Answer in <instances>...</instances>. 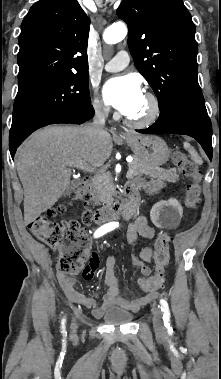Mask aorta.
<instances>
[{"label":"aorta","mask_w":221,"mask_h":379,"mask_svg":"<svg viewBox=\"0 0 221 379\" xmlns=\"http://www.w3.org/2000/svg\"><path fill=\"white\" fill-rule=\"evenodd\" d=\"M127 35V27L123 23H115L105 29L103 39L107 44H116Z\"/></svg>","instance_id":"aorta-1"}]
</instances>
